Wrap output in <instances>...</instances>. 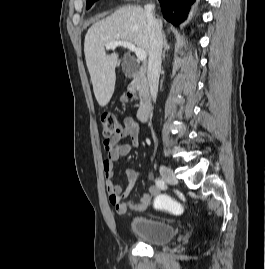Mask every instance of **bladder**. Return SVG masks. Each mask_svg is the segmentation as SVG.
<instances>
[{
  "instance_id": "31cf9c89",
  "label": "bladder",
  "mask_w": 265,
  "mask_h": 269,
  "mask_svg": "<svg viewBox=\"0 0 265 269\" xmlns=\"http://www.w3.org/2000/svg\"><path fill=\"white\" fill-rule=\"evenodd\" d=\"M133 235L152 245H163L175 237L172 225L146 217H133L129 224Z\"/></svg>"
}]
</instances>
